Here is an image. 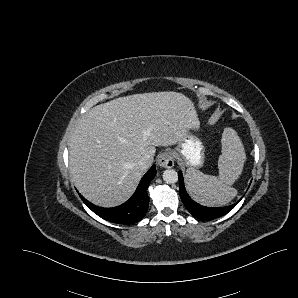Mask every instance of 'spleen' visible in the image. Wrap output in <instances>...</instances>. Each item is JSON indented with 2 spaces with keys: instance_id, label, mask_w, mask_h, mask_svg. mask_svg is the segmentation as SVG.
I'll return each mask as SVG.
<instances>
[{
  "instance_id": "obj_1",
  "label": "spleen",
  "mask_w": 298,
  "mask_h": 298,
  "mask_svg": "<svg viewBox=\"0 0 298 298\" xmlns=\"http://www.w3.org/2000/svg\"><path fill=\"white\" fill-rule=\"evenodd\" d=\"M221 146L218 176L206 175L193 168L185 173L188 194L202 206H225L238 195L233 186L241 178L247 161L245 145L238 131L227 126L223 128Z\"/></svg>"
}]
</instances>
